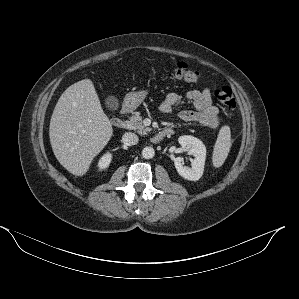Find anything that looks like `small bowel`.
<instances>
[{"instance_id":"c3829d8e","label":"small bowel","mask_w":299,"mask_h":299,"mask_svg":"<svg viewBox=\"0 0 299 299\" xmlns=\"http://www.w3.org/2000/svg\"><path fill=\"white\" fill-rule=\"evenodd\" d=\"M187 102L192 104L193 110H183L179 117L186 122H197L211 129H216L221 124L218 108L213 104L209 89L190 90L184 99L177 93H168L160 104V110L170 114L179 105Z\"/></svg>"}]
</instances>
